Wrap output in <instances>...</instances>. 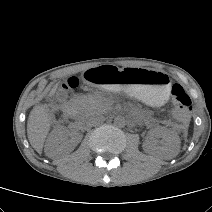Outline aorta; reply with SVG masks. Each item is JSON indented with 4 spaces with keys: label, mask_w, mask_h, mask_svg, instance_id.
I'll use <instances>...</instances> for the list:
<instances>
[{
    "label": "aorta",
    "mask_w": 212,
    "mask_h": 212,
    "mask_svg": "<svg viewBox=\"0 0 212 212\" xmlns=\"http://www.w3.org/2000/svg\"><path fill=\"white\" fill-rule=\"evenodd\" d=\"M125 123H126V120L122 116H117L114 119V124L118 127H123L125 125Z\"/></svg>",
    "instance_id": "1"
}]
</instances>
